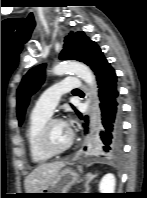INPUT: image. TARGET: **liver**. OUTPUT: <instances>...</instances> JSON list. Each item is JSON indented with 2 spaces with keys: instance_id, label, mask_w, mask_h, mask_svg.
Listing matches in <instances>:
<instances>
[{
  "instance_id": "obj_1",
  "label": "liver",
  "mask_w": 147,
  "mask_h": 198,
  "mask_svg": "<svg viewBox=\"0 0 147 198\" xmlns=\"http://www.w3.org/2000/svg\"><path fill=\"white\" fill-rule=\"evenodd\" d=\"M66 165L64 161L38 165L24 181L26 193H37L51 183Z\"/></svg>"
}]
</instances>
